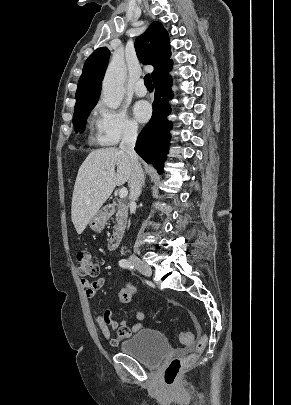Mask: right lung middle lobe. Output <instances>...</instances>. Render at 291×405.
<instances>
[{
	"instance_id": "right-lung-middle-lobe-1",
	"label": "right lung middle lobe",
	"mask_w": 291,
	"mask_h": 405,
	"mask_svg": "<svg viewBox=\"0 0 291 405\" xmlns=\"http://www.w3.org/2000/svg\"><path fill=\"white\" fill-rule=\"evenodd\" d=\"M91 109H93V107L74 112L73 125H74V129L76 132L84 131L85 125H86V119L89 116Z\"/></svg>"
}]
</instances>
